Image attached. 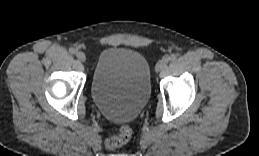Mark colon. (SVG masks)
Listing matches in <instances>:
<instances>
[{
	"label": "colon",
	"mask_w": 259,
	"mask_h": 156,
	"mask_svg": "<svg viewBox=\"0 0 259 156\" xmlns=\"http://www.w3.org/2000/svg\"><path fill=\"white\" fill-rule=\"evenodd\" d=\"M131 135H132V131L130 127L126 125H122L119 127L118 134L113 137H110L106 141V145L111 149L119 147L121 145L126 144L130 140Z\"/></svg>",
	"instance_id": "5ec220e1"
}]
</instances>
